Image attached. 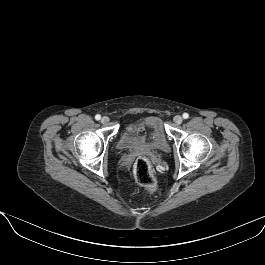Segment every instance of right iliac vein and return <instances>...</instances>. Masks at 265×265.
<instances>
[{"label":"right iliac vein","mask_w":265,"mask_h":265,"mask_svg":"<svg viewBox=\"0 0 265 265\" xmlns=\"http://www.w3.org/2000/svg\"><path fill=\"white\" fill-rule=\"evenodd\" d=\"M108 122H109V118L107 116L102 117L101 119L102 124H107Z\"/></svg>","instance_id":"right-iliac-vein-1"}]
</instances>
